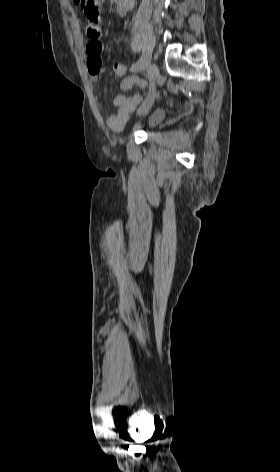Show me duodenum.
<instances>
[{"label":"duodenum","mask_w":280,"mask_h":472,"mask_svg":"<svg viewBox=\"0 0 280 472\" xmlns=\"http://www.w3.org/2000/svg\"><path fill=\"white\" fill-rule=\"evenodd\" d=\"M117 12H118V14H119L120 16L125 15V11H124V9H122V8L117 9Z\"/></svg>","instance_id":"410a0bca"}]
</instances>
